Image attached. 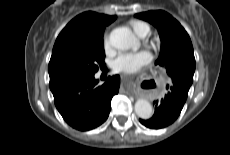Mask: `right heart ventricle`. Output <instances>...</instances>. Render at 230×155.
Instances as JSON below:
<instances>
[{"label":"right heart ventricle","instance_id":"right-heart-ventricle-1","mask_svg":"<svg viewBox=\"0 0 230 155\" xmlns=\"http://www.w3.org/2000/svg\"><path fill=\"white\" fill-rule=\"evenodd\" d=\"M131 26L134 32L141 37L146 36L150 31L149 25L143 21H132Z\"/></svg>","mask_w":230,"mask_h":155}]
</instances>
